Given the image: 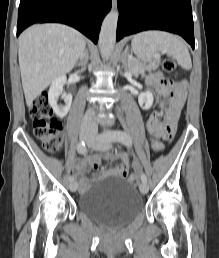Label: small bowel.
Returning a JSON list of instances; mask_svg holds the SVG:
<instances>
[{"mask_svg": "<svg viewBox=\"0 0 219 258\" xmlns=\"http://www.w3.org/2000/svg\"><path fill=\"white\" fill-rule=\"evenodd\" d=\"M147 82L156 87L162 94L169 96L170 104L167 109L166 119L146 118L145 127L148 128L149 134H157L164 140L171 141L175 133L180 110L184 104L186 86L182 83L169 82L159 72L150 73L147 77ZM163 112V108H158L157 112H151V117H163ZM104 159L110 162H117V168L107 171L108 174L117 172V179L128 178L129 156L126 153L114 152L107 155ZM120 159L122 162H119ZM101 160L102 158L99 156H86L76 160L74 174L79 179L82 191H85L89 187V180L84 177L85 172L96 170Z\"/></svg>", "mask_w": 219, "mask_h": 258, "instance_id": "obj_1", "label": "small bowel"}]
</instances>
